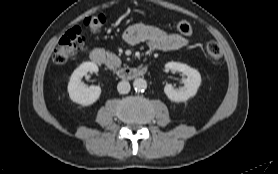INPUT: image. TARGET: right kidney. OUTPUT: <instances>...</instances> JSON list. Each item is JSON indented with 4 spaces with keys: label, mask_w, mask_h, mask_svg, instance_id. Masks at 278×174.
I'll list each match as a JSON object with an SVG mask.
<instances>
[{
    "label": "right kidney",
    "mask_w": 278,
    "mask_h": 174,
    "mask_svg": "<svg viewBox=\"0 0 278 174\" xmlns=\"http://www.w3.org/2000/svg\"><path fill=\"white\" fill-rule=\"evenodd\" d=\"M88 72H98V66L93 62H84L74 70L68 83V93L73 102L88 106L96 102L101 94L99 86L85 87L81 79Z\"/></svg>",
    "instance_id": "1"
}]
</instances>
